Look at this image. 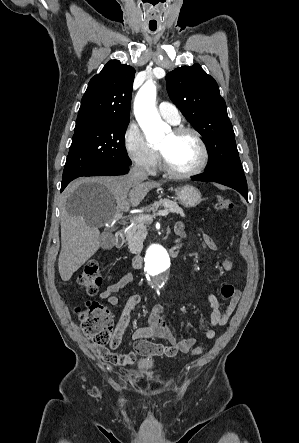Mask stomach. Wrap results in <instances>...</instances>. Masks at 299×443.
Wrapping results in <instances>:
<instances>
[{"label":"stomach","instance_id":"1","mask_svg":"<svg viewBox=\"0 0 299 443\" xmlns=\"http://www.w3.org/2000/svg\"><path fill=\"white\" fill-rule=\"evenodd\" d=\"M175 193L179 202L185 207H195L202 201L200 191L190 185L175 189Z\"/></svg>","mask_w":299,"mask_h":443}]
</instances>
